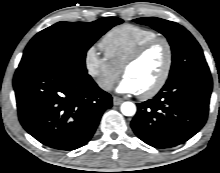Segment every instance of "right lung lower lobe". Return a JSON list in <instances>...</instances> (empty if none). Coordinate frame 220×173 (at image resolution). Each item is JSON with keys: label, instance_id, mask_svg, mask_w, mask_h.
I'll return each mask as SVG.
<instances>
[{"label": "right lung lower lobe", "instance_id": "1", "mask_svg": "<svg viewBox=\"0 0 220 173\" xmlns=\"http://www.w3.org/2000/svg\"><path fill=\"white\" fill-rule=\"evenodd\" d=\"M13 85L19 120L40 143L75 150L93 136L112 97L88 74L55 65L18 67Z\"/></svg>", "mask_w": 220, "mask_h": 173}]
</instances>
